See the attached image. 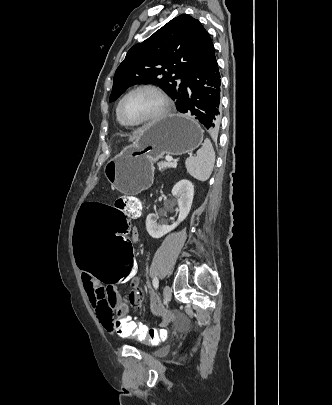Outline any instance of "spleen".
Here are the masks:
<instances>
[{"label": "spleen", "mask_w": 332, "mask_h": 405, "mask_svg": "<svg viewBox=\"0 0 332 405\" xmlns=\"http://www.w3.org/2000/svg\"><path fill=\"white\" fill-rule=\"evenodd\" d=\"M215 163V152L211 141L206 138L202 147L197 151L196 156H190L185 161L187 172L193 178L205 182L213 171Z\"/></svg>", "instance_id": "spleen-1"}]
</instances>
